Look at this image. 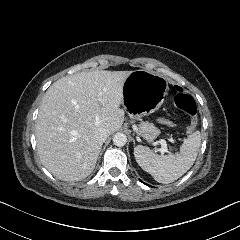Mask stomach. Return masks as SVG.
I'll use <instances>...</instances> for the list:
<instances>
[{
	"instance_id": "obj_1",
	"label": "stomach",
	"mask_w": 240,
	"mask_h": 240,
	"mask_svg": "<svg viewBox=\"0 0 240 240\" xmlns=\"http://www.w3.org/2000/svg\"><path fill=\"white\" fill-rule=\"evenodd\" d=\"M168 79L143 69L132 71L124 83L122 104L131 119L157 111L168 92Z\"/></svg>"
}]
</instances>
